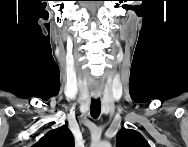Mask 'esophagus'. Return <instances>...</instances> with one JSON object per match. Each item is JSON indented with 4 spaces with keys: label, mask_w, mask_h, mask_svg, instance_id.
<instances>
[{
    "label": "esophagus",
    "mask_w": 188,
    "mask_h": 147,
    "mask_svg": "<svg viewBox=\"0 0 188 147\" xmlns=\"http://www.w3.org/2000/svg\"><path fill=\"white\" fill-rule=\"evenodd\" d=\"M98 96H99V95H97V94L94 95L95 98H98Z\"/></svg>",
    "instance_id": "esophagus-1"
}]
</instances>
